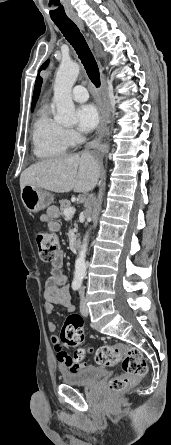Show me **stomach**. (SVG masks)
<instances>
[{
  "instance_id": "1",
  "label": "stomach",
  "mask_w": 171,
  "mask_h": 445,
  "mask_svg": "<svg viewBox=\"0 0 171 445\" xmlns=\"http://www.w3.org/2000/svg\"><path fill=\"white\" fill-rule=\"evenodd\" d=\"M21 200L29 212L37 213L40 210L49 207L52 204L54 197L42 188L33 185H25L21 189Z\"/></svg>"
}]
</instances>
